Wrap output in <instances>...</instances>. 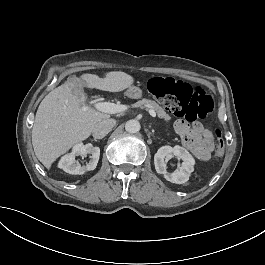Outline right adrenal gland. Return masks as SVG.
Returning <instances> with one entry per match:
<instances>
[{"mask_svg":"<svg viewBox=\"0 0 265 265\" xmlns=\"http://www.w3.org/2000/svg\"><path fill=\"white\" fill-rule=\"evenodd\" d=\"M94 141H95V142H100V139H99V140H97V139H94Z\"/></svg>","mask_w":265,"mask_h":265,"instance_id":"1","label":"right adrenal gland"}]
</instances>
